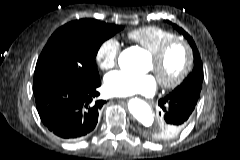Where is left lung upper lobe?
<instances>
[{"mask_svg": "<svg viewBox=\"0 0 240 160\" xmlns=\"http://www.w3.org/2000/svg\"><path fill=\"white\" fill-rule=\"evenodd\" d=\"M167 22L171 23L169 21ZM173 27L183 34V36L188 40L190 46L192 47L194 55V68L193 71L189 74V76L183 81V83L179 85L177 88H175L170 94L189 96L198 100L200 97L203 81V66L199 52L197 50L195 42L187 32H185L182 28L178 27L175 24H173ZM163 127L164 126L161 124L159 127L153 129V131L155 133L160 132L163 129Z\"/></svg>", "mask_w": 240, "mask_h": 160, "instance_id": "1", "label": "left lung upper lobe"}]
</instances>
